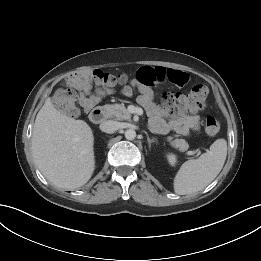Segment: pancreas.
Wrapping results in <instances>:
<instances>
[{
	"label": "pancreas",
	"instance_id": "1",
	"mask_svg": "<svg viewBox=\"0 0 261 261\" xmlns=\"http://www.w3.org/2000/svg\"><path fill=\"white\" fill-rule=\"evenodd\" d=\"M104 109L107 111L110 118H114L116 120H129L131 118V114L123 104H107L104 106ZM149 125L151 126L152 131L158 132L154 120H150ZM167 140L172 147L181 152H185L189 148L188 143L184 139L173 140V137L169 136Z\"/></svg>",
	"mask_w": 261,
	"mask_h": 261
}]
</instances>
